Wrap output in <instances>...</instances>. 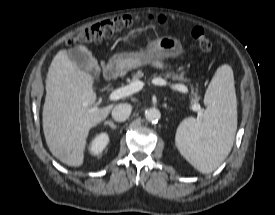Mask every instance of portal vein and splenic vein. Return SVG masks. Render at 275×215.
<instances>
[{
  "instance_id": "1",
  "label": "portal vein and splenic vein",
  "mask_w": 275,
  "mask_h": 215,
  "mask_svg": "<svg viewBox=\"0 0 275 215\" xmlns=\"http://www.w3.org/2000/svg\"><path fill=\"white\" fill-rule=\"evenodd\" d=\"M151 83L154 85H167L168 83L160 78V77H155L151 80ZM172 89L177 90L179 92L182 93H188V88L183 85V84H168ZM145 86V83L142 81H136V82H132L131 84L118 88L116 90H114L113 92H111V94L109 95V100L111 101H115V100H119L121 98L130 96L138 91H140L143 87ZM192 109L194 111H198L199 116L202 115V110L199 104H194L192 105Z\"/></svg>"
}]
</instances>
